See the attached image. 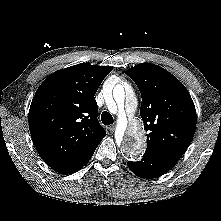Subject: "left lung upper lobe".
<instances>
[{"label": "left lung upper lobe", "mask_w": 221, "mask_h": 221, "mask_svg": "<svg viewBox=\"0 0 221 221\" xmlns=\"http://www.w3.org/2000/svg\"><path fill=\"white\" fill-rule=\"evenodd\" d=\"M136 83L147 134L145 154L176 163L190 145L196 110L185 86L162 67L142 63L125 72Z\"/></svg>", "instance_id": "5c2ea615"}]
</instances>
